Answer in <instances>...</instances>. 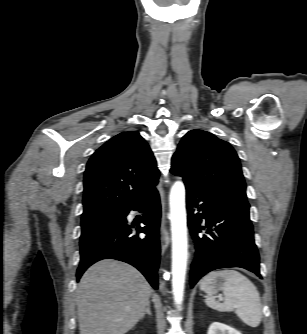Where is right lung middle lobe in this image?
<instances>
[{"mask_svg":"<svg viewBox=\"0 0 307 334\" xmlns=\"http://www.w3.org/2000/svg\"><path fill=\"white\" fill-rule=\"evenodd\" d=\"M121 217L122 213H99L82 216L80 245L102 231L116 225Z\"/></svg>","mask_w":307,"mask_h":334,"instance_id":"1","label":"right lung middle lobe"}]
</instances>
